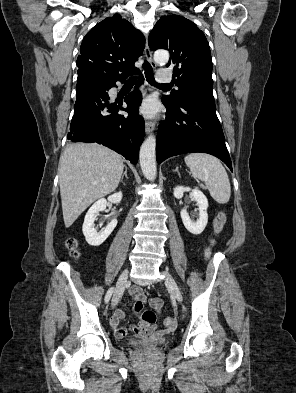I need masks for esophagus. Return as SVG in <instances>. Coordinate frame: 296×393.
I'll use <instances>...</instances> for the list:
<instances>
[{"instance_id": "34e87169", "label": "esophagus", "mask_w": 296, "mask_h": 393, "mask_svg": "<svg viewBox=\"0 0 296 393\" xmlns=\"http://www.w3.org/2000/svg\"><path fill=\"white\" fill-rule=\"evenodd\" d=\"M144 54H145V57H146L147 61L151 64V66L153 68H156V63L153 60L152 52H151V50L149 48L147 40H146V44H145ZM154 129H155V123L153 121H151V120H146L145 121V131H146V133L150 134V133H152L154 131Z\"/></svg>"}]
</instances>
